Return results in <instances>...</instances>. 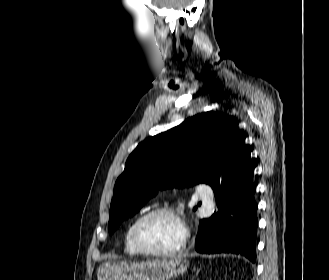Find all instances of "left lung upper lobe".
I'll use <instances>...</instances> for the list:
<instances>
[{
	"mask_svg": "<svg viewBox=\"0 0 329 280\" xmlns=\"http://www.w3.org/2000/svg\"><path fill=\"white\" fill-rule=\"evenodd\" d=\"M245 137L238 124L220 112H203L141 142L114 186L108 231L137 213L158 189L209 184L226 186L240 169Z\"/></svg>",
	"mask_w": 329,
	"mask_h": 280,
	"instance_id": "5c2ea615",
	"label": "left lung upper lobe"
}]
</instances>
